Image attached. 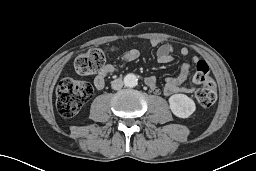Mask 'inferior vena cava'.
Masks as SVG:
<instances>
[{"instance_id":"inferior-vena-cava-1","label":"inferior vena cava","mask_w":256,"mask_h":171,"mask_svg":"<svg viewBox=\"0 0 256 171\" xmlns=\"http://www.w3.org/2000/svg\"><path fill=\"white\" fill-rule=\"evenodd\" d=\"M111 87H112V89H114V90H119V89H121V88L123 87V81H122V79L118 78V79L113 80L112 83H111Z\"/></svg>"}]
</instances>
